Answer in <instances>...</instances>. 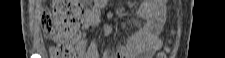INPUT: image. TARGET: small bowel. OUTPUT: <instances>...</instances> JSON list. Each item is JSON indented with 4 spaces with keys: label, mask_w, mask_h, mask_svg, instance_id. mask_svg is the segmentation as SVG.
I'll list each match as a JSON object with an SVG mask.
<instances>
[{
    "label": "small bowel",
    "mask_w": 225,
    "mask_h": 58,
    "mask_svg": "<svg viewBox=\"0 0 225 58\" xmlns=\"http://www.w3.org/2000/svg\"><path fill=\"white\" fill-rule=\"evenodd\" d=\"M109 3L108 0H95L83 13L82 35L76 45L78 58H99V43L101 37L109 35L114 25L102 19V10ZM146 18L143 20L127 18L119 23L120 28L134 23L140 26L141 38L130 45H121L117 48L106 49L103 58H132L133 54L151 55L160 47L159 32L165 18L166 5L163 1H155L145 6ZM99 29L100 35L88 46L89 31Z\"/></svg>",
    "instance_id": "small-bowel-1"
}]
</instances>
